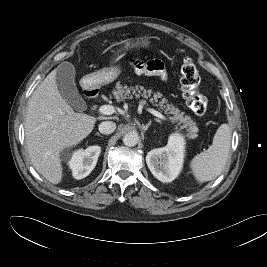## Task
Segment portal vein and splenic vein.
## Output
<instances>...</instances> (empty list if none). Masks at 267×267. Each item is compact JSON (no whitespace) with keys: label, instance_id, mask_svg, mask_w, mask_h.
Here are the masks:
<instances>
[{"label":"portal vein and splenic vein","instance_id":"1","mask_svg":"<svg viewBox=\"0 0 267 267\" xmlns=\"http://www.w3.org/2000/svg\"><path fill=\"white\" fill-rule=\"evenodd\" d=\"M139 108H143L142 105H139ZM146 110L151 113L153 116L163 120V121H166L167 118L161 114L160 112L152 109V108H146ZM99 112L104 114V115H112L114 112H115V108L114 106L112 105H102L100 108H99Z\"/></svg>","mask_w":267,"mask_h":267}]
</instances>
